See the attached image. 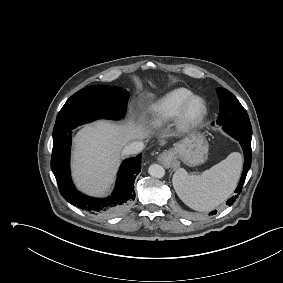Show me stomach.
<instances>
[{
  "instance_id": "obj_1",
  "label": "stomach",
  "mask_w": 283,
  "mask_h": 283,
  "mask_svg": "<svg viewBox=\"0 0 283 283\" xmlns=\"http://www.w3.org/2000/svg\"><path fill=\"white\" fill-rule=\"evenodd\" d=\"M208 143L203 135L192 133L174 145L167 153L173 161H182L186 165L202 164L208 157Z\"/></svg>"
}]
</instances>
